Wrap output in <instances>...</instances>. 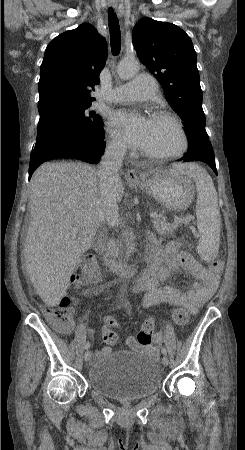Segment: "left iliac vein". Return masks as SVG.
<instances>
[{
  "mask_svg": "<svg viewBox=\"0 0 245 450\" xmlns=\"http://www.w3.org/2000/svg\"><path fill=\"white\" fill-rule=\"evenodd\" d=\"M162 363H163L164 366H168V364H169V359H168L167 356H163V358H162Z\"/></svg>",
  "mask_w": 245,
  "mask_h": 450,
  "instance_id": "1",
  "label": "left iliac vein"
}]
</instances>
